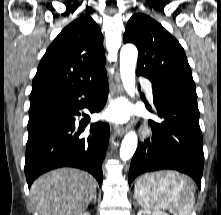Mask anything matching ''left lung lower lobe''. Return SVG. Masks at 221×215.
Here are the masks:
<instances>
[{
    "label": "left lung lower lobe",
    "mask_w": 221,
    "mask_h": 215,
    "mask_svg": "<svg viewBox=\"0 0 221 215\" xmlns=\"http://www.w3.org/2000/svg\"><path fill=\"white\" fill-rule=\"evenodd\" d=\"M153 98L163 122L150 121L152 141L147 139L136 150L129 185L142 173L172 169L191 176L200 189L204 154L197 99L158 87H153Z\"/></svg>",
    "instance_id": "obj_1"
}]
</instances>
